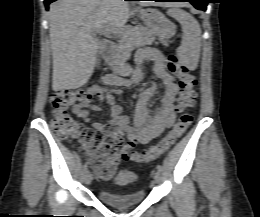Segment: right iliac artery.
Returning a JSON list of instances; mask_svg holds the SVG:
<instances>
[{
	"instance_id": "82829eb1",
	"label": "right iliac artery",
	"mask_w": 260,
	"mask_h": 217,
	"mask_svg": "<svg viewBox=\"0 0 260 217\" xmlns=\"http://www.w3.org/2000/svg\"><path fill=\"white\" fill-rule=\"evenodd\" d=\"M83 168H84V171H86V170H87V165H84V167H83Z\"/></svg>"
}]
</instances>
